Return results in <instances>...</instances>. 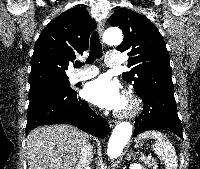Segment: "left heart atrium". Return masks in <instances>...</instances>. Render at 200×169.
Segmentation results:
<instances>
[{"instance_id":"obj_1","label":"left heart atrium","mask_w":200,"mask_h":169,"mask_svg":"<svg viewBox=\"0 0 200 169\" xmlns=\"http://www.w3.org/2000/svg\"><path fill=\"white\" fill-rule=\"evenodd\" d=\"M85 98L103 109L118 111L124 98L117 81L101 76L90 82L84 90Z\"/></svg>"}]
</instances>
